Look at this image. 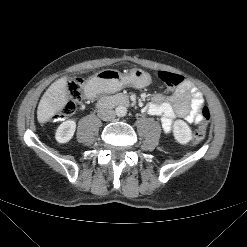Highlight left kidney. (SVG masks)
<instances>
[{
	"instance_id": "obj_1",
	"label": "left kidney",
	"mask_w": 247,
	"mask_h": 247,
	"mask_svg": "<svg viewBox=\"0 0 247 247\" xmlns=\"http://www.w3.org/2000/svg\"><path fill=\"white\" fill-rule=\"evenodd\" d=\"M173 135L176 141L182 145H186L192 139V131L188 124L183 120L174 121Z\"/></svg>"
}]
</instances>
